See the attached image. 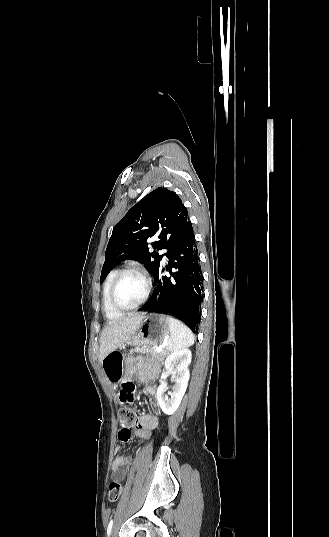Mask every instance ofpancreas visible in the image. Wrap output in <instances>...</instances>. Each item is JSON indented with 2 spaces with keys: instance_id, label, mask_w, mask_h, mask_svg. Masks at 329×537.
Returning <instances> with one entry per match:
<instances>
[{
  "instance_id": "pancreas-1",
  "label": "pancreas",
  "mask_w": 329,
  "mask_h": 537,
  "mask_svg": "<svg viewBox=\"0 0 329 537\" xmlns=\"http://www.w3.org/2000/svg\"><path fill=\"white\" fill-rule=\"evenodd\" d=\"M134 352H137V353H147L149 354L150 356V359L152 361H155V362H159V363H163L165 357L167 356V351L166 350H162L161 352H157L155 350V347H151V346H142V347H136L135 349H132L130 351V354H133Z\"/></svg>"
}]
</instances>
